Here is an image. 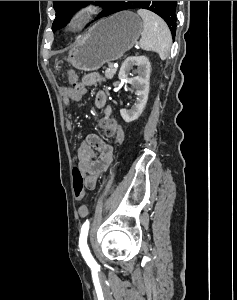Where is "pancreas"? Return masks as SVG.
<instances>
[{
	"label": "pancreas",
	"mask_w": 237,
	"mask_h": 300,
	"mask_svg": "<svg viewBox=\"0 0 237 300\" xmlns=\"http://www.w3.org/2000/svg\"><path fill=\"white\" fill-rule=\"evenodd\" d=\"M116 71H117V69H114V67L111 68V69H110V68L107 69V71H106V73H105L106 79H112V77H114Z\"/></svg>",
	"instance_id": "pancreas-1"
}]
</instances>
